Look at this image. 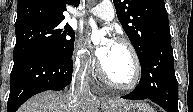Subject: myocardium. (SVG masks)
Masks as SVG:
<instances>
[{"instance_id": "myocardium-1", "label": "myocardium", "mask_w": 193, "mask_h": 112, "mask_svg": "<svg viewBox=\"0 0 193 112\" xmlns=\"http://www.w3.org/2000/svg\"><path fill=\"white\" fill-rule=\"evenodd\" d=\"M114 42L123 44L129 50L130 55H131L132 60H133V67H134L133 77L130 80V82H128L126 84L116 83L106 75V73L104 72L101 64L98 67V74H99L100 78L107 85H109L110 87H112L114 89H117V90H120V91L133 90L139 84L140 79H141V74H142V68H141V62H140V59H139V55H138L134 45L128 39L123 38V37H116V38H114Z\"/></svg>"}]
</instances>
